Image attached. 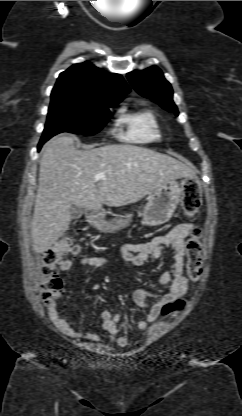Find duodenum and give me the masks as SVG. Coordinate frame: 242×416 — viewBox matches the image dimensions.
<instances>
[{"mask_svg":"<svg viewBox=\"0 0 242 416\" xmlns=\"http://www.w3.org/2000/svg\"><path fill=\"white\" fill-rule=\"evenodd\" d=\"M99 212H100V210H97V209H94V208H91V209L88 210V214L90 216H96V215L99 214Z\"/></svg>","mask_w":242,"mask_h":416,"instance_id":"410a0bca","label":"duodenum"}]
</instances>
